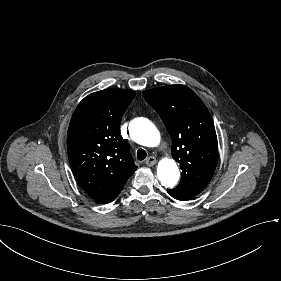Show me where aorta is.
<instances>
[{"label":"aorta","mask_w":281,"mask_h":281,"mask_svg":"<svg viewBox=\"0 0 281 281\" xmlns=\"http://www.w3.org/2000/svg\"><path fill=\"white\" fill-rule=\"evenodd\" d=\"M132 138L139 144L155 147L160 142V133L155 125L146 118L135 119L130 124ZM157 176L166 188H173L179 180V169L173 159H162L157 167Z\"/></svg>","instance_id":"762f6f07"}]
</instances>
